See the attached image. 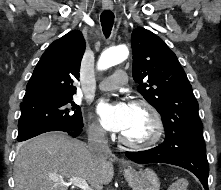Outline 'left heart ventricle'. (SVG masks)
I'll return each instance as SVG.
<instances>
[{
    "mask_svg": "<svg viewBox=\"0 0 221 190\" xmlns=\"http://www.w3.org/2000/svg\"><path fill=\"white\" fill-rule=\"evenodd\" d=\"M151 129L148 113L142 108L131 106L130 123L122 134L131 140L139 141L147 138Z\"/></svg>",
    "mask_w": 221,
    "mask_h": 190,
    "instance_id": "b2bd125f",
    "label": "left heart ventricle"
}]
</instances>
